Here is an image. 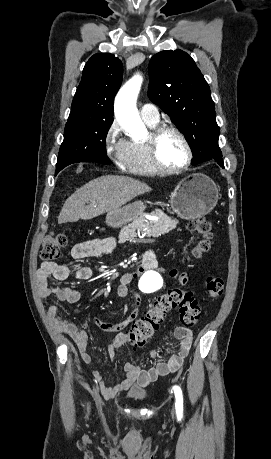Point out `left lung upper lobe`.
<instances>
[{
  "instance_id": "1",
  "label": "left lung upper lobe",
  "mask_w": 271,
  "mask_h": 459,
  "mask_svg": "<svg viewBox=\"0 0 271 459\" xmlns=\"http://www.w3.org/2000/svg\"><path fill=\"white\" fill-rule=\"evenodd\" d=\"M149 74L148 96L188 140L192 165L221 158L214 102L194 60L179 49L161 51L151 58Z\"/></svg>"
}]
</instances>
